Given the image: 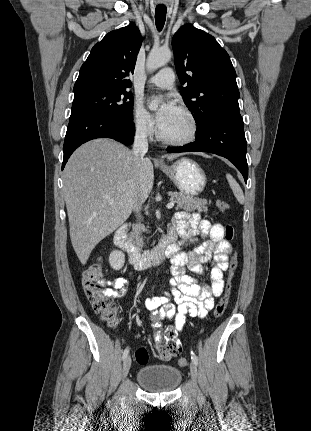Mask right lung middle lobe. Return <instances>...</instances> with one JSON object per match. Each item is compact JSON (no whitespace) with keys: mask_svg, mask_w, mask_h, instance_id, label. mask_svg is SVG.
I'll use <instances>...</instances> for the list:
<instances>
[{"mask_svg":"<svg viewBox=\"0 0 311 431\" xmlns=\"http://www.w3.org/2000/svg\"><path fill=\"white\" fill-rule=\"evenodd\" d=\"M133 96L126 90L85 89L74 92L71 118L86 113H102L132 118Z\"/></svg>","mask_w":311,"mask_h":431,"instance_id":"1","label":"right lung middle lobe"}]
</instances>
